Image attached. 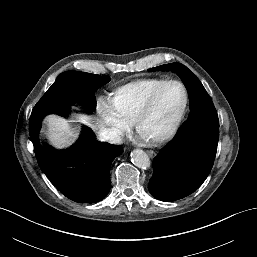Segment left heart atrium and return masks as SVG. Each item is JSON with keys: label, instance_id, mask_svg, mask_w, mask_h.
Masks as SVG:
<instances>
[{"label": "left heart atrium", "instance_id": "39dd6f15", "mask_svg": "<svg viewBox=\"0 0 257 257\" xmlns=\"http://www.w3.org/2000/svg\"><path fill=\"white\" fill-rule=\"evenodd\" d=\"M137 140H147V139L145 135H143L142 133H139V135L137 136Z\"/></svg>", "mask_w": 257, "mask_h": 257}]
</instances>
